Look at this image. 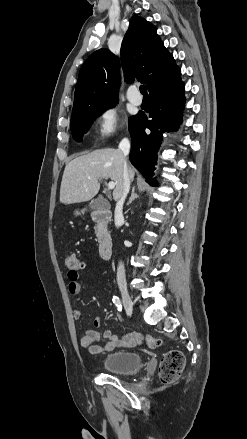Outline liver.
<instances>
[{
  "label": "liver",
  "instance_id": "liver-1",
  "mask_svg": "<svg viewBox=\"0 0 247 439\" xmlns=\"http://www.w3.org/2000/svg\"><path fill=\"white\" fill-rule=\"evenodd\" d=\"M126 162L129 178L133 180L135 172L127 164L126 157L119 149H98L76 157L64 170L60 202L73 204L92 199L100 189L101 179H111L115 183L113 199L117 201L123 192V165Z\"/></svg>",
  "mask_w": 247,
  "mask_h": 439
}]
</instances>
